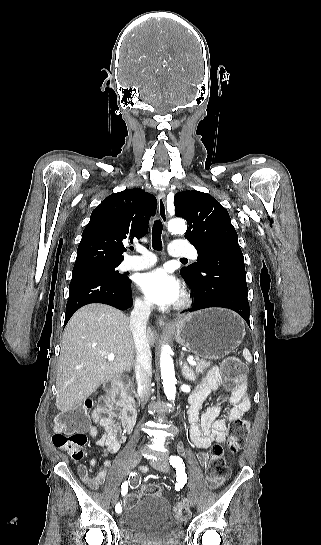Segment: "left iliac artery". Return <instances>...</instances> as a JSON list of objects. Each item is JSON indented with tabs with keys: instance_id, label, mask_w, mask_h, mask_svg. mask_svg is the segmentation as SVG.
I'll return each mask as SVG.
<instances>
[{
	"instance_id": "left-iliac-artery-1",
	"label": "left iliac artery",
	"mask_w": 321,
	"mask_h": 545,
	"mask_svg": "<svg viewBox=\"0 0 321 545\" xmlns=\"http://www.w3.org/2000/svg\"><path fill=\"white\" fill-rule=\"evenodd\" d=\"M170 464L176 470L177 481L186 483L187 482V475L185 473V464H184L183 460L179 456H171L170 457Z\"/></svg>"
}]
</instances>
